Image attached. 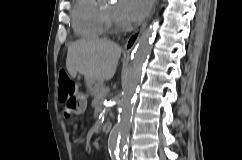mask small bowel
<instances>
[{"mask_svg":"<svg viewBox=\"0 0 242 160\" xmlns=\"http://www.w3.org/2000/svg\"><path fill=\"white\" fill-rule=\"evenodd\" d=\"M86 109V103H85V98H83V102L81 103V105L78 107L77 112L78 113H82L84 112Z\"/></svg>","mask_w":242,"mask_h":160,"instance_id":"1","label":"small bowel"}]
</instances>
